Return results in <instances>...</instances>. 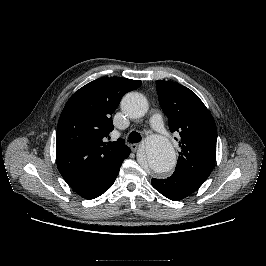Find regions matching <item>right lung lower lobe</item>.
Masks as SVG:
<instances>
[{
    "instance_id": "obj_1",
    "label": "right lung lower lobe",
    "mask_w": 266,
    "mask_h": 266,
    "mask_svg": "<svg viewBox=\"0 0 266 266\" xmlns=\"http://www.w3.org/2000/svg\"><path fill=\"white\" fill-rule=\"evenodd\" d=\"M129 154L130 150L117 164L97 173L85 181L72 183L69 186L85 199L97 198L112 186L119 173L122 162Z\"/></svg>"
}]
</instances>
